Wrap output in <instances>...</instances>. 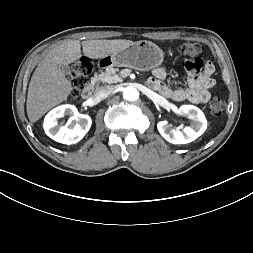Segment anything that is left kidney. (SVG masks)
<instances>
[{
  "label": "left kidney",
  "instance_id": "obj_1",
  "mask_svg": "<svg viewBox=\"0 0 253 253\" xmlns=\"http://www.w3.org/2000/svg\"><path fill=\"white\" fill-rule=\"evenodd\" d=\"M180 113L191 119L189 127H185L183 131L171 129L167 121H160L157 129L161 136L172 144H187L199 136H201L207 128V120L203 112L193 105H182Z\"/></svg>",
  "mask_w": 253,
  "mask_h": 253
}]
</instances>
